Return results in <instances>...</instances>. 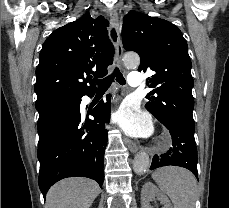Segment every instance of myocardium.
<instances>
[{
  "label": "myocardium",
  "mask_w": 229,
  "mask_h": 208,
  "mask_svg": "<svg viewBox=\"0 0 229 208\" xmlns=\"http://www.w3.org/2000/svg\"><path fill=\"white\" fill-rule=\"evenodd\" d=\"M172 144L171 135L168 132H161L155 139L153 147L157 151H163Z\"/></svg>",
  "instance_id": "f54148a6"
}]
</instances>
